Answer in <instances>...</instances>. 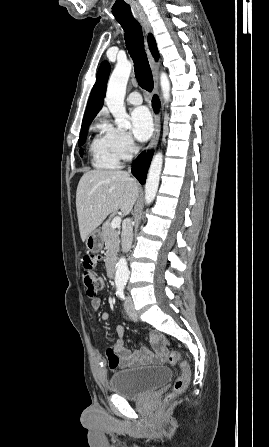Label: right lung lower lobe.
Returning <instances> with one entry per match:
<instances>
[{
	"label": "right lung lower lobe",
	"mask_w": 269,
	"mask_h": 447,
	"mask_svg": "<svg viewBox=\"0 0 269 447\" xmlns=\"http://www.w3.org/2000/svg\"><path fill=\"white\" fill-rule=\"evenodd\" d=\"M152 102L154 110L155 112H157L160 107V102L156 95H154ZM151 158L152 153L146 154L145 152H143L132 163V174L138 179L141 184L145 183Z\"/></svg>",
	"instance_id": "right-lung-lower-lobe-1"
}]
</instances>
